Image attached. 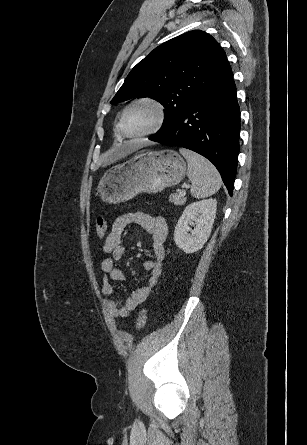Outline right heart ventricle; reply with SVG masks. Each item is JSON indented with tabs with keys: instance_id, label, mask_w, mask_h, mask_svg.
Returning <instances> with one entry per match:
<instances>
[{
	"instance_id": "e07e8e85",
	"label": "right heart ventricle",
	"mask_w": 307,
	"mask_h": 445,
	"mask_svg": "<svg viewBox=\"0 0 307 445\" xmlns=\"http://www.w3.org/2000/svg\"><path fill=\"white\" fill-rule=\"evenodd\" d=\"M115 137H116V141H118V142H121L122 141V134H121V131H120V125L119 124H117L116 125V127H115Z\"/></svg>"
}]
</instances>
